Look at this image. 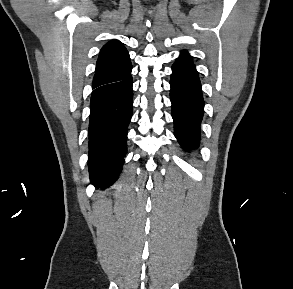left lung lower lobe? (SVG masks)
I'll return each instance as SVG.
<instances>
[{
  "label": "left lung lower lobe",
  "instance_id": "1",
  "mask_svg": "<svg viewBox=\"0 0 293 289\" xmlns=\"http://www.w3.org/2000/svg\"><path fill=\"white\" fill-rule=\"evenodd\" d=\"M170 86L175 137L184 149H193L200 142L204 100L198 73L188 53H181L173 64Z\"/></svg>",
  "mask_w": 293,
  "mask_h": 289
}]
</instances>
